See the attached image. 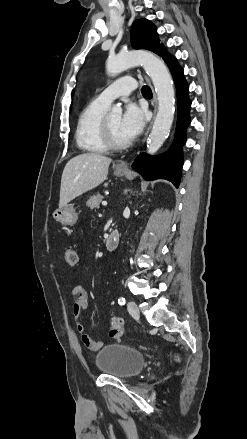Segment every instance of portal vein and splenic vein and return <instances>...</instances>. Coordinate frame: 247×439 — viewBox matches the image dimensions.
Segmentation results:
<instances>
[{
    "instance_id": "1",
    "label": "portal vein and splenic vein",
    "mask_w": 247,
    "mask_h": 439,
    "mask_svg": "<svg viewBox=\"0 0 247 439\" xmlns=\"http://www.w3.org/2000/svg\"><path fill=\"white\" fill-rule=\"evenodd\" d=\"M102 205H103V206H106V205H107V202H106V201H103V202H102Z\"/></svg>"
}]
</instances>
